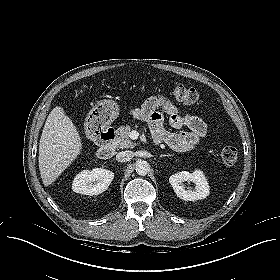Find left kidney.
<instances>
[{"mask_svg": "<svg viewBox=\"0 0 280 280\" xmlns=\"http://www.w3.org/2000/svg\"><path fill=\"white\" fill-rule=\"evenodd\" d=\"M169 182L176 195L185 201H195L206 198L210 193L208 181L201 170L193 173L182 171L171 175ZM192 182L194 187H187L184 183Z\"/></svg>", "mask_w": 280, "mask_h": 280, "instance_id": "1", "label": "left kidney"}]
</instances>
